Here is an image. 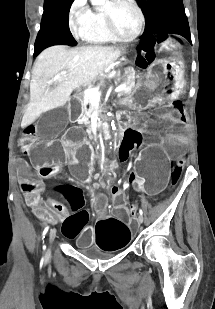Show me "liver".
I'll return each instance as SVG.
<instances>
[{
    "mask_svg": "<svg viewBox=\"0 0 215 309\" xmlns=\"http://www.w3.org/2000/svg\"><path fill=\"white\" fill-rule=\"evenodd\" d=\"M122 54L119 46H77L69 48L63 44L49 46L37 56L30 80V102L22 118L21 126L30 124L32 114H41L50 108L63 106L70 100L74 88L85 86ZM66 70L56 88L49 90L48 80L54 74Z\"/></svg>",
    "mask_w": 215,
    "mask_h": 309,
    "instance_id": "6515ba94",
    "label": "liver"
}]
</instances>
